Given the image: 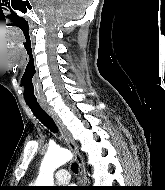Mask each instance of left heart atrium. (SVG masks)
Instances as JSON below:
<instances>
[{
    "label": "left heart atrium",
    "instance_id": "obj_1",
    "mask_svg": "<svg viewBox=\"0 0 165 190\" xmlns=\"http://www.w3.org/2000/svg\"><path fill=\"white\" fill-rule=\"evenodd\" d=\"M65 190H74L72 187H67Z\"/></svg>",
    "mask_w": 165,
    "mask_h": 190
}]
</instances>
